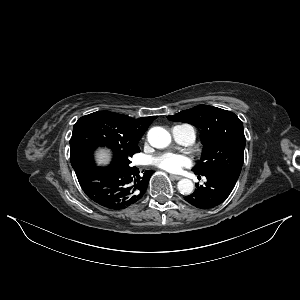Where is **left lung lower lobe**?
<instances>
[{
  "mask_svg": "<svg viewBox=\"0 0 300 300\" xmlns=\"http://www.w3.org/2000/svg\"><path fill=\"white\" fill-rule=\"evenodd\" d=\"M203 176L207 178L205 185L196 184L197 188L194 193L184 197L188 203L199 209H211L224 202L239 177V175L222 170L209 172Z\"/></svg>",
  "mask_w": 300,
  "mask_h": 300,
  "instance_id": "0a47b994",
  "label": "left lung lower lobe"
}]
</instances>
